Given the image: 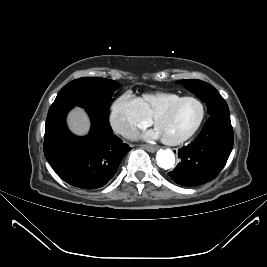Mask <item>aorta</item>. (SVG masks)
Masks as SVG:
<instances>
[{"mask_svg": "<svg viewBox=\"0 0 267 267\" xmlns=\"http://www.w3.org/2000/svg\"><path fill=\"white\" fill-rule=\"evenodd\" d=\"M156 160L158 166L165 170L172 168L175 164V156L170 149L158 150Z\"/></svg>", "mask_w": 267, "mask_h": 267, "instance_id": "obj_1", "label": "aorta"}]
</instances>
